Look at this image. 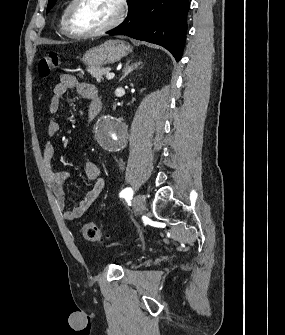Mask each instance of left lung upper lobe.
<instances>
[{
  "label": "left lung upper lobe",
  "mask_w": 285,
  "mask_h": 335,
  "mask_svg": "<svg viewBox=\"0 0 285 335\" xmlns=\"http://www.w3.org/2000/svg\"><path fill=\"white\" fill-rule=\"evenodd\" d=\"M56 0H49L48 1V8H47V12L54 6Z\"/></svg>",
  "instance_id": "left-lung-upper-lobe-1"
}]
</instances>
